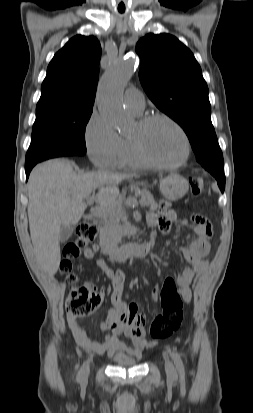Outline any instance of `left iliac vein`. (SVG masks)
Masks as SVG:
<instances>
[{
	"label": "left iliac vein",
	"mask_w": 253,
	"mask_h": 413,
	"mask_svg": "<svg viewBox=\"0 0 253 413\" xmlns=\"http://www.w3.org/2000/svg\"><path fill=\"white\" fill-rule=\"evenodd\" d=\"M165 370L169 378L174 379L176 377V369L173 363L168 359L165 360Z\"/></svg>",
	"instance_id": "obj_1"
}]
</instances>
